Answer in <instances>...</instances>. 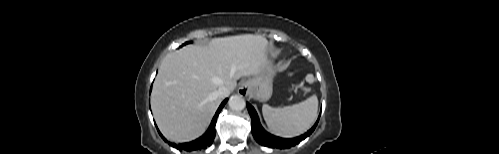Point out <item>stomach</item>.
<instances>
[{"instance_id":"0dacf381","label":"stomach","mask_w":499,"mask_h":154,"mask_svg":"<svg viewBox=\"0 0 499 154\" xmlns=\"http://www.w3.org/2000/svg\"><path fill=\"white\" fill-rule=\"evenodd\" d=\"M276 75L274 66L267 62L262 72L246 81L249 94L261 101H267L271 98L273 92V78Z\"/></svg>"}]
</instances>
